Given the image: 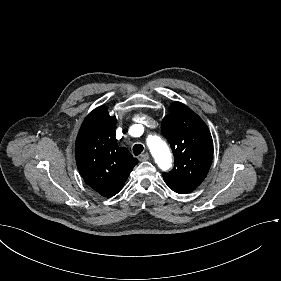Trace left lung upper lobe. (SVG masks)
I'll return each mask as SVG.
<instances>
[{
  "label": "left lung upper lobe",
  "instance_id": "obj_1",
  "mask_svg": "<svg viewBox=\"0 0 281 281\" xmlns=\"http://www.w3.org/2000/svg\"><path fill=\"white\" fill-rule=\"evenodd\" d=\"M161 132L174 154V169L163 173V179L176 193H189L205 179L212 162L213 141L209 129L190 108L174 102L162 121Z\"/></svg>",
  "mask_w": 281,
  "mask_h": 281
}]
</instances>
